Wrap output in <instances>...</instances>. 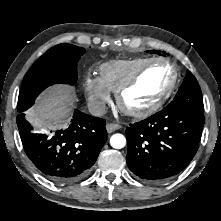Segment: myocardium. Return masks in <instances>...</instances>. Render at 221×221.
Masks as SVG:
<instances>
[{
    "instance_id": "f54148a6",
    "label": "myocardium",
    "mask_w": 221,
    "mask_h": 221,
    "mask_svg": "<svg viewBox=\"0 0 221 221\" xmlns=\"http://www.w3.org/2000/svg\"><path fill=\"white\" fill-rule=\"evenodd\" d=\"M156 63L169 65L173 70V77L169 86L161 93V95L149 106L143 109H131L124 103L125 93L131 89L140 79V77L148 70V68ZM180 73L178 66L171 60L166 58H152L144 63L128 80H126L116 91V103L120 110L127 116L133 118H145L157 112L166 100L173 94L179 81Z\"/></svg>"
}]
</instances>
